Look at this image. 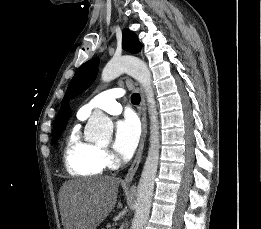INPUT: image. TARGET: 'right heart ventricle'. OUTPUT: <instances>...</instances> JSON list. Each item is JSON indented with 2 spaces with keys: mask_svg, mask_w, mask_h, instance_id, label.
Segmentation results:
<instances>
[{
  "mask_svg": "<svg viewBox=\"0 0 261 229\" xmlns=\"http://www.w3.org/2000/svg\"><path fill=\"white\" fill-rule=\"evenodd\" d=\"M79 114H85L80 109L79 119H84ZM102 147L88 141L81 133L80 127H74L67 135L64 148L63 159L66 169L73 175H97L102 173L103 165L101 161Z\"/></svg>",
  "mask_w": 261,
  "mask_h": 229,
  "instance_id": "obj_1",
  "label": "right heart ventricle"
}]
</instances>
